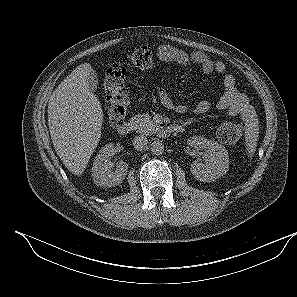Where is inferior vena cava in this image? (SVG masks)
I'll list each match as a JSON object with an SVG mask.
<instances>
[{
  "instance_id": "1",
  "label": "inferior vena cava",
  "mask_w": 297,
  "mask_h": 297,
  "mask_svg": "<svg viewBox=\"0 0 297 297\" xmlns=\"http://www.w3.org/2000/svg\"><path fill=\"white\" fill-rule=\"evenodd\" d=\"M148 140L145 136L139 135L133 139L134 148L138 151H142L146 148Z\"/></svg>"
}]
</instances>
